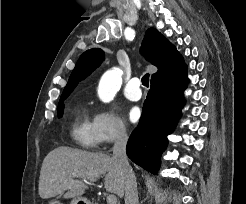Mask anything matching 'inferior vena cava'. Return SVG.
<instances>
[{
	"instance_id": "obj_1",
	"label": "inferior vena cava",
	"mask_w": 246,
	"mask_h": 204,
	"mask_svg": "<svg viewBox=\"0 0 246 204\" xmlns=\"http://www.w3.org/2000/svg\"><path fill=\"white\" fill-rule=\"evenodd\" d=\"M127 134L125 129H120L117 133V137L113 147V159L116 160L125 176V204H138V191L136 177L133 169L128 162L126 155Z\"/></svg>"
}]
</instances>
